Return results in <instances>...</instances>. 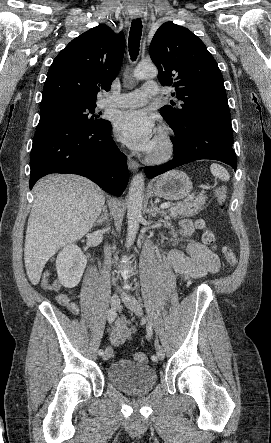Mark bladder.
I'll use <instances>...</instances> for the list:
<instances>
[{"mask_svg":"<svg viewBox=\"0 0 271 443\" xmlns=\"http://www.w3.org/2000/svg\"><path fill=\"white\" fill-rule=\"evenodd\" d=\"M107 376L118 389L130 394L147 392L157 383L154 368L128 359L111 363L107 369Z\"/></svg>","mask_w":271,"mask_h":443,"instance_id":"bladder-1","label":"bladder"}]
</instances>
